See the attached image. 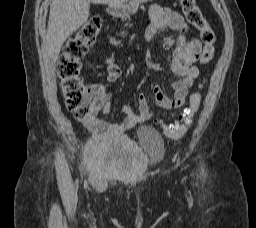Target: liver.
I'll return each mask as SVG.
<instances>
[{
    "label": "liver",
    "instance_id": "obj_1",
    "mask_svg": "<svg viewBox=\"0 0 256 228\" xmlns=\"http://www.w3.org/2000/svg\"><path fill=\"white\" fill-rule=\"evenodd\" d=\"M127 0H52L48 20L46 44L48 55L55 63L60 49L70 35L89 17L90 3L119 7Z\"/></svg>",
    "mask_w": 256,
    "mask_h": 228
}]
</instances>
